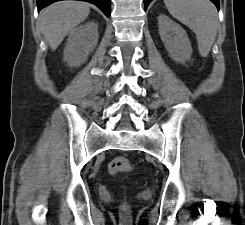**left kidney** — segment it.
Segmentation results:
<instances>
[{"mask_svg":"<svg viewBox=\"0 0 245 225\" xmlns=\"http://www.w3.org/2000/svg\"><path fill=\"white\" fill-rule=\"evenodd\" d=\"M159 35L171 59L184 63L190 60L192 47L186 31L165 14L158 17Z\"/></svg>","mask_w":245,"mask_h":225,"instance_id":"left-kidney-1","label":"left kidney"}]
</instances>
